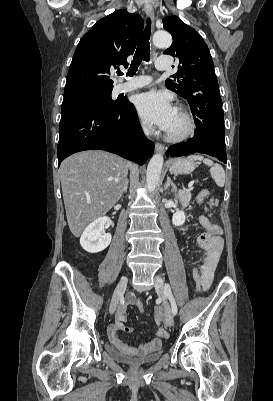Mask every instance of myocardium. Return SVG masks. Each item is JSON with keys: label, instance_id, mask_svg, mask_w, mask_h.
Returning <instances> with one entry per match:
<instances>
[{"label": "myocardium", "instance_id": "1", "mask_svg": "<svg viewBox=\"0 0 273 401\" xmlns=\"http://www.w3.org/2000/svg\"><path fill=\"white\" fill-rule=\"evenodd\" d=\"M176 110L179 111L180 114L185 117V119L188 122V128L185 132H183L181 134H171L166 131L164 136L170 142L186 141V140L190 139L191 137H193V135L195 134L196 129H197V122H196L195 117L189 111H187L184 107L178 106L176 108Z\"/></svg>", "mask_w": 273, "mask_h": 401}]
</instances>
